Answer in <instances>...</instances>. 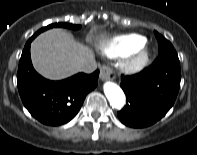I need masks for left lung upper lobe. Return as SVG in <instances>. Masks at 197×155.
Instances as JSON below:
<instances>
[{
  "label": "left lung upper lobe",
  "instance_id": "obj_1",
  "mask_svg": "<svg viewBox=\"0 0 197 155\" xmlns=\"http://www.w3.org/2000/svg\"><path fill=\"white\" fill-rule=\"evenodd\" d=\"M155 35L158 40L159 45V54L158 57H175L178 58V55L173 47V45L165 39L162 35L155 31Z\"/></svg>",
  "mask_w": 197,
  "mask_h": 155
}]
</instances>
